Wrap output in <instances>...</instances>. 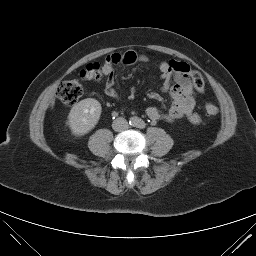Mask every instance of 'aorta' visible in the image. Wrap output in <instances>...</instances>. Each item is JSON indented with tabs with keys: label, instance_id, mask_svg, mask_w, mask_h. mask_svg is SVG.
Segmentation results:
<instances>
[{
	"label": "aorta",
	"instance_id": "obj_1",
	"mask_svg": "<svg viewBox=\"0 0 256 256\" xmlns=\"http://www.w3.org/2000/svg\"><path fill=\"white\" fill-rule=\"evenodd\" d=\"M137 121H138V118H137V117L131 118V123H132L133 125L136 124Z\"/></svg>",
	"mask_w": 256,
	"mask_h": 256
}]
</instances>
